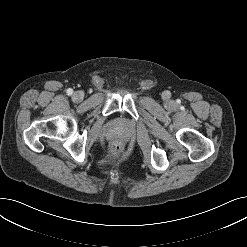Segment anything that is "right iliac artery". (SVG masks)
Returning a JSON list of instances; mask_svg holds the SVG:
<instances>
[{"label":"right iliac artery","instance_id":"obj_1","mask_svg":"<svg viewBox=\"0 0 247 247\" xmlns=\"http://www.w3.org/2000/svg\"><path fill=\"white\" fill-rule=\"evenodd\" d=\"M67 94L68 95H72L73 94V90L71 88L67 89Z\"/></svg>","mask_w":247,"mask_h":247}]
</instances>
